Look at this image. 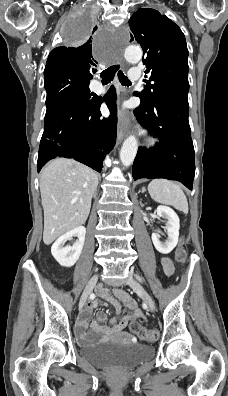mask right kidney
<instances>
[{"label":"right kidney","mask_w":228,"mask_h":396,"mask_svg":"<svg viewBox=\"0 0 228 396\" xmlns=\"http://www.w3.org/2000/svg\"><path fill=\"white\" fill-rule=\"evenodd\" d=\"M86 228L79 226L62 236L52 245L51 253L55 260L63 267H72L79 259L85 241ZM74 236L78 239L73 246H64L68 240Z\"/></svg>","instance_id":"obj_1"}]
</instances>
